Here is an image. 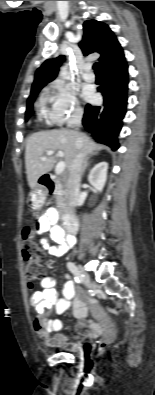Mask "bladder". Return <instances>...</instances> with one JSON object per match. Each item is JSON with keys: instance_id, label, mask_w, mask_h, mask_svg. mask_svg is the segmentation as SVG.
Masks as SVG:
<instances>
[{"instance_id": "obj_1", "label": "bladder", "mask_w": 155, "mask_h": 395, "mask_svg": "<svg viewBox=\"0 0 155 395\" xmlns=\"http://www.w3.org/2000/svg\"><path fill=\"white\" fill-rule=\"evenodd\" d=\"M87 345H89V344H87ZM66 349L68 350V352H71V353L78 352V347L76 345H69V346H67Z\"/></svg>"}]
</instances>
